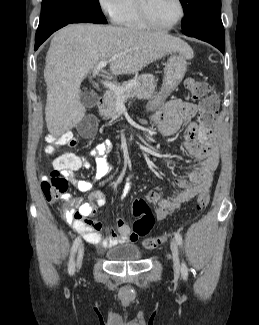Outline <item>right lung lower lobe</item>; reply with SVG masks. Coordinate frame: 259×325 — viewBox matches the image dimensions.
I'll use <instances>...</instances> for the list:
<instances>
[{
  "mask_svg": "<svg viewBox=\"0 0 259 325\" xmlns=\"http://www.w3.org/2000/svg\"><path fill=\"white\" fill-rule=\"evenodd\" d=\"M70 24V23H61L59 25L54 26L50 30H47L45 33L42 35L35 37V50L38 49V47L56 30L64 27L65 25Z\"/></svg>",
  "mask_w": 259,
  "mask_h": 325,
  "instance_id": "right-lung-lower-lobe-1",
  "label": "right lung lower lobe"
}]
</instances>
